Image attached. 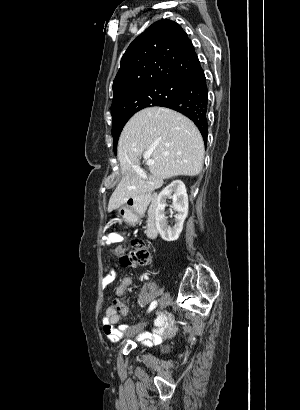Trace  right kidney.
I'll return each instance as SVG.
<instances>
[{
    "label": "right kidney",
    "instance_id": "obj_1",
    "mask_svg": "<svg viewBox=\"0 0 300 410\" xmlns=\"http://www.w3.org/2000/svg\"><path fill=\"white\" fill-rule=\"evenodd\" d=\"M172 195L173 208L178 212L175 216L174 226H169L166 221V200ZM188 214V196L185 184L181 180H174L166 186L157 197L155 209L156 228L165 241H175L179 238L183 229L184 221Z\"/></svg>",
    "mask_w": 300,
    "mask_h": 410
}]
</instances>
